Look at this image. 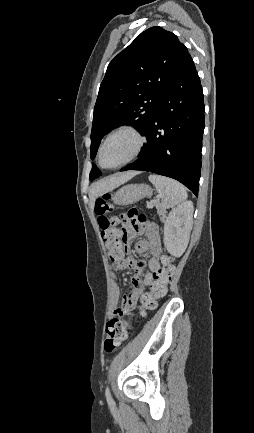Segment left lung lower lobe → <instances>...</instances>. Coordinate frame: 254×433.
Wrapping results in <instances>:
<instances>
[{"instance_id": "1", "label": "left lung lower lobe", "mask_w": 254, "mask_h": 433, "mask_svg": "<svg viewBox=\"0 0 254 433\" xmlns=\"http://www.w3.org/2000/svg\"><path fill=\"white\" fill-rule=\"evenodd\" d=\"M204 127L203 91L187 53L144 133L147 145L140 157L121 171L167 176L198 195Z\"/></svg>"}]
</instances>
